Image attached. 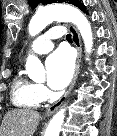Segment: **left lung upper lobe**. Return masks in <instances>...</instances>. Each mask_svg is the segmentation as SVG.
<instances>
[{
	"mask_svg": "<svg viewBox=\"0 0 117 136\" xmlns=\"http://www.w3.org/2000/svg\"><path fill=\"white\" fill-rule=\"evenodd\" d=\"M43 3V4H50V3H55L56 1L54 0H29V5L34 9L38 3ZM60 2H67L73 5H77L81 10L85 11V6L79 2V0H63Z\"/></svg>",
	"mask_w": 117,
	"mask_h": 136,
	"instance_id": "left-lung-upper-lobe-1",
	"label": "left lung upper lobe"
}]
</instances>
